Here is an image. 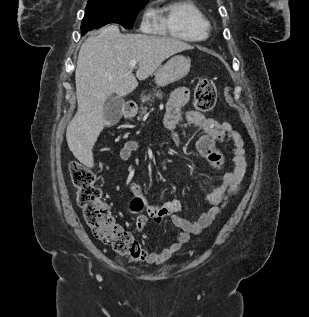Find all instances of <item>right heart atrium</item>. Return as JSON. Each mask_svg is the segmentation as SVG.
I'll return each mask as SVG.
<instances>
[{
	"label": "right heart atrium",
	"instance_id": "right-heart-atrium-1",
	"mask_svg": "<svg viewBox=\"0 0 309 317\" xmlns=\"http://www.w3.org/2000/svg\"><path fill=\"white\" fill-rule=\"evenodd\" d=\"M149 16H150V13L147 12V13L145 14V17H144V23H147V22H148Z\"/></svg>",
	"mask_w": 309,
	"mask_h": 317
}]
</instances>
